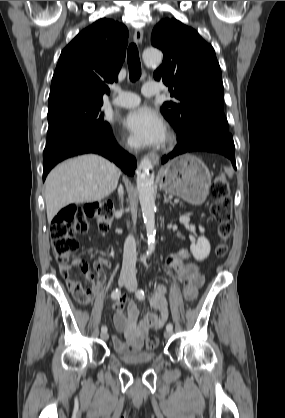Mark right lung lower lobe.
Listing matches in <instances>:
<instances>
[{"label":"right lung lower lobe","instance_id":"98d812e1","mask_svg":"<svg viewBox=\"0 0 285 418\" xmlns=\"http://www.w3.org/2000/svg\"><path fill=\"white\" fill-rule=\"evenodd\" d=\"M85 153L102 155L115 162L128 175H134L136 159L117 145L112 130L101 133L81 131L47 144L43 153V180L57 163Z\"/></svg>","mask_w":285,"mask_h":418}]
</instances>
